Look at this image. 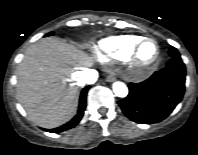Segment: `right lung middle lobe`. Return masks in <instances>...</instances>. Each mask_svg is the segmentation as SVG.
Returning a JSON list of instances; mask_svg holds the SVG:
<instances>
[{
  "mask_svg": "<svg viewBox=\"0 0 198 155\" xmlns=\"http://www.w3.org/2000/svg\"><path fill=\"white\" fill-rule=\"evenodd\" d=\"M53 33L51 32V33H48L46 36H50V35H52Z\"/></svg>",
  "mask_w": 198,
  "mask_h": 155,
  "instance_id": "right-lung-middle-lobe-1",
  "label": "right lung middle lobe"
}]
</instances>
